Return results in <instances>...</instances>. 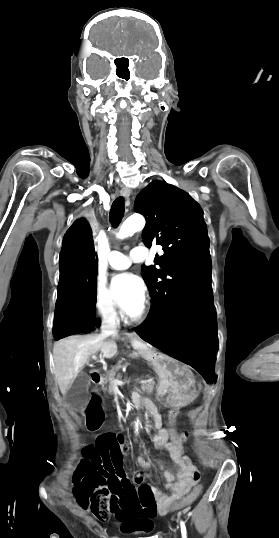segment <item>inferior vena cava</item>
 <instances>
[{
  "label": "inferior vena cava",
  "instance_id": "obj_1",
  "mask_svg": "<svg viewBox=\"0 0 279 538\" xmlns=\"http://www.w3.org/2000/svg\"><path fill=\"white\" fill-rule=\"evenodd\" d=\"M115 321H117V323ZM104 322H105V325L103 326L102 333H107L108 335H112V334L116 335L117 334L116 325L118 324V319L116 317V312L114 310H107L105 312Z\"/></svg>",
  "mask_w": 279,
  "mask_h": 538
}]
</instances>
